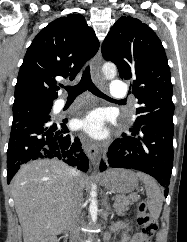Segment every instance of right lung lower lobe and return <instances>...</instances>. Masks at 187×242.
<instances>
[{"label":"right lung lower lobe","mask_w":187,"mask_h":242,"mask_svg":"<svg viewBox=\"0 0 187 242\" xmlns=\"http://www.w3.org/2000/svg\"><path fill=\"white\" fill-rule=\"evenodd\" d=\"M67 119L53 122L50 115L12 123L7 150L8 184L24 163L40 158H57L87 171L89 161L79 138L70 133Z\"/></svg>","instance_id":"obj_1"}]
</instances>
